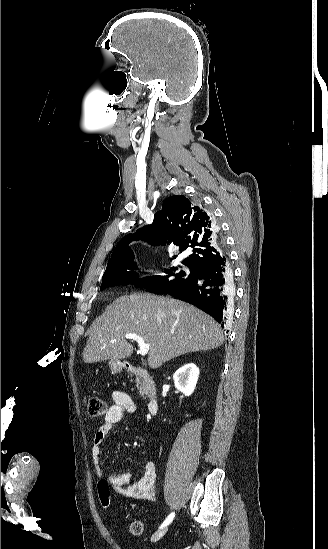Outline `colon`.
<instances>
[{
	"label": "colon",
	"mask_w": 328,
	"mask_h": 549,
	"mask_svg": "<svg viewBox=\"0 0 328 549\" xmlns=\"http://www.w3.org/2000/svg\"><path fill=\"white\" fill-rule=\"evenodd\" d=\"M106 411V403L98 396H90L88 399V412L91 416H101ZM98 496L101 507L109 509L111 506V495L109 484L106 480H100L97 484ZM144 531V524L141 520H134L130 524V532L133 535H141Z\"/></svg>",
	"instance_id": "obj_1"
}]
</instances>
